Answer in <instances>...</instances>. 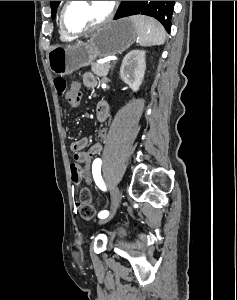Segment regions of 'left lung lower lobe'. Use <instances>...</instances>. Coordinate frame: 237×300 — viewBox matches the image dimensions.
Listing matches in <instances>:
<instances>
[{"label": "left lung lower lobe", "instance_id": "obj_1", "mask_svg": "<svg viewBox=\"0 0 237 300\" xmlns=\"http://www.w3.org/2000/svg\"><path fill=\"white\" fill-rule=\"evenodd\" d=\"M165 5H174V1H164Z\"/></svg>", "mask_w": 237, "mask_h": 300}]
</instances>
